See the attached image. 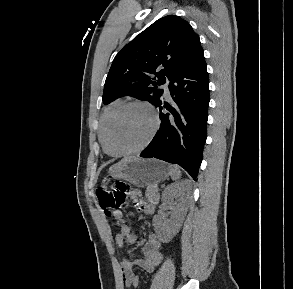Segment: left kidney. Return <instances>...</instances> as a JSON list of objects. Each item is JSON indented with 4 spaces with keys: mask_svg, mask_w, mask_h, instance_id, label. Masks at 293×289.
<instances>
[{
    "mask_svg": "<svg viewBox=\"0 0 293 289\" xmlns=\"http://www.w3.org/2000/svg\"><path fill=\"white\" fill-rule=\"evenodd\" d=\"M190 188L188 180H182L169 185L162 194V200L166 205L172 207V216L165 223L161 222L160 216H154L153 225L158 238L162 242H169L181 227L187 212V192ZM177 199V203L173 200Z\"/></svg>",
    "mask_w": 293,
    "mask_h": 289,
    "instance_id": "1",
    "label": "left kidney"
}]
</instances>
